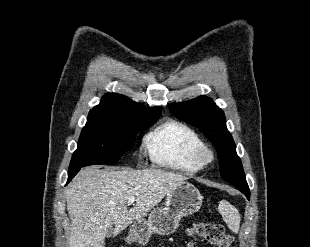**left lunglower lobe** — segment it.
I'll list each match as a JSON object with an SVG mask.
<instances>
[{
	"label": "left lung lower lobe",
	"instance_id": "1",
	"mask_svg": "<svg viewBox=\"0 0 310 247\" xmlns=\"http://www.w3.org/2000/svg\"><path fill=\"white\" fill-rule=\"evenodd\" d=\"M239 191H241L248 200H250V190L248 187V184L246 182V180L242 181V182H234L232 183Z\"/></svg>",
	"mask_w": 310,
	"mask_h": 247
}]
</instances>
